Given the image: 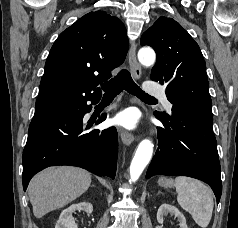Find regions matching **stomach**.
<instances>
[{
  "mask_svg": "<svg viewBox=\"0 0 238 228\" xmlns=\"http://www.w3.org/2000/svg\"><path fill=\"white\" fill-rule=\"evenodd\" d=\"M159 185L167 188H172L174 186V182L172 179L161 178L159 180Z\"/></svg>",
  "mask_w": 238,
  "mask_h": 228,
  "instance_id": "stomach-1",
  "label": "stomach"
}]
</instances>
